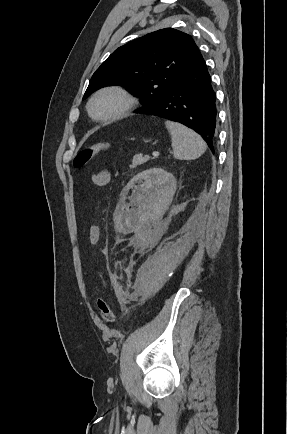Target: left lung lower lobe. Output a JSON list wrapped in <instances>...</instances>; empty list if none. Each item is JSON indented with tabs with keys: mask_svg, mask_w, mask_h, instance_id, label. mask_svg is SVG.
Segmentation results:
<instances>
[{
	"mask_svg": "<svg viewBox=\"0 0 287 434\" xmlns=\"http://www.w3.org/2000/svg\"><path fill=\"white\" fill-rule=\"evenodd\" d=\"M216 95L203 59L188 67L154 105L135 113L154 115L193 129L214 151L216 140Z\"/></svg>",
	"mask_w": 287,
	"mask_h": 434,
	"instance_id": "obj_1",
	"label": "left lung lower lobe"
}]
</instances>
